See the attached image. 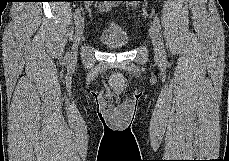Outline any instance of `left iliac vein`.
Returning a JSON list of instances; mask_svg holds the SVG:
<instances>
[{"mask_svg": "<svg viewBox=\"0 0 229 161\" xmlns=\"http://www.w3.org/2000/svg\"><path fill=\"white\" fill-rule=\"evenodd\" d=\"M149 35L154 47V53L156 56L160 57L161 56V44H160V40L157 34L156 29L151 26L149 29Z\"/></svg>", "mask_w": 229, "mask_h": 161, "instance_id": "obj_1", "label": "left iliac vein"}]
</instances>
